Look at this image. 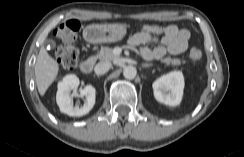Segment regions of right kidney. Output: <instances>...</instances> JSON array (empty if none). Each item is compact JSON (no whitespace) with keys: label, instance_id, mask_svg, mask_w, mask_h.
<instances>
[{"label":"right kidney","instance_id":"right-kidney-1","mask_svg":"<svg viewBox=\"0 0 244 157\" xmlns=\"http://www.w3.org/2000/svg\"><path fill=\"white\" fill-rule=\"evenodd\" d=\"M79 84L78 77L73 74L65 76L58 83L56 101L62 113L73 117H80L88 114L93 108L96 99V90L92 85H86L83 89H80V94L86 98L83 107H79L78 105L73 106L71 91H76Z\"/></svg>","mask_w":244,"mask_h":157}]
</instances>
